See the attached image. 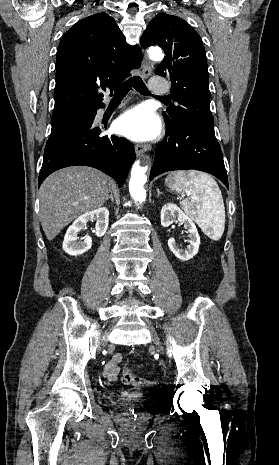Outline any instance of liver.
Masks as SVG:
<instances>
[{"instance_id": "obj_1", "label": "liver", "mask_w": 279, "mask_h": 465, "mask_svg": "<svg viewBox=\"0 0 279 465\" xmlns=\"http://www.w3.org/2000/svg\"><path fill=\"white\" fill-rule=\"evenodd\" d=\"M109 177L86 166L60 169L40 187V221L48 240L83 213L101 207L110 192Z\"/></svg>"}]
</instances>
